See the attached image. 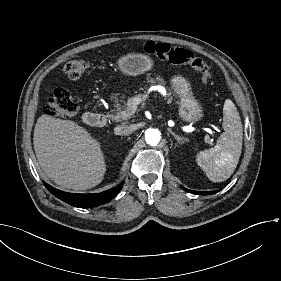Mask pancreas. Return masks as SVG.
I'll return each mask as SVG.
<instances>
[{
	"label": "pancreas",
	"mask_w": 281,
	"mask_h": 281,
	"mask_svg": "<svg viewBox=\"0 0 281 281\" xmlns=\"http://www.w3.org/2000/svg\"><path fill=\"white\" fill-rule=\"evenodd\" d=\"M157 80L159 81L160 85H165V81L162 78H157ZM172 98H168L167 102L171 103ZM127 109L126 106V102H123V105H118L117 106V113L115 115H110V117L115 120V121H121L122 120V116L124 115L125 110Z\"/></svg>",
	"instance_id": "pancreas-1"
}]
</instances>
